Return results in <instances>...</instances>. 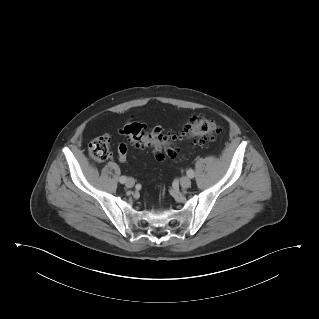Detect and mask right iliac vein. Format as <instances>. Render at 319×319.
Instances as JSON below:
<instances>
[{"label":"right iliac vein","instance_id":"63e3f726","mask_svg":"<svg viewBox=\"0 0 319 319\" xmlns=\"http://www.w3.org/2000/svg\"><path fill=\"white\" fill-rule=\"evenodd\" d=\"M135 184V181L132 178H128L126 181V187L127 188H132Z\"/></svg>","mask_w":319,"mask_h":319}]
</instances>
